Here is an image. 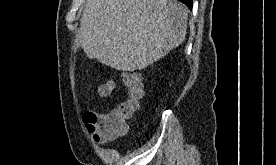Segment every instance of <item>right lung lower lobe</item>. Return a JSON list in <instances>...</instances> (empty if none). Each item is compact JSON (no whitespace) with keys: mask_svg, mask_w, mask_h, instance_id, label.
<instances>
[{"mask_svg":"<svg viewBox=\"0 0 276 165\" xmlns=\"http://www.w3.org/2000/svg\"><path fill=\"white\" fill-rule=\"evenodd\" d=\"M188 6L189 9H192V0H178Z\"/></svg>","mask_w":276,"mask_h":165,"instance_id":"98d812e1","label":"right lung lower lobe"}]
</instances>
